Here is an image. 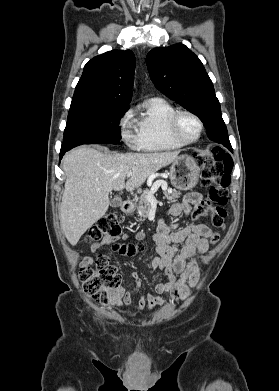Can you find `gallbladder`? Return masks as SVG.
<instances>
[{"instance_id": "bac80fb5", "label": "gallbladder", "mask_w": 279, "mask_h": 391, "mask_svg": "<svg viewBox=\"0 0 279 391\" xmlns=\"http://www.w3.org/2000/svg\"><path fill=\"white\" fill-rule=\"evenodd\" d=\"M122 204V201H121V199H119V198H113L111 201H110V205L112 206V207H118V206H120Z\"/></svg>"}]
</instances>
